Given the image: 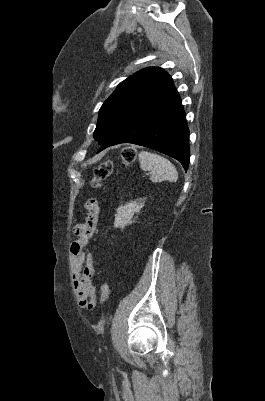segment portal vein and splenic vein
I'll return each mask as SVG.
<instances>
[{"label":"portal vein and splenic vein","instance_id":"portal-vein-and-splenic-vein-1","mask_svg":"<svg viewBox=\"0 0 265 401\" xmlns=\"http://www.w3.org/2000/svg\"><path fill=\"white\" fill-rule=\"evenodd\" d=\"M146 175H147V176H150V175H151V172H150V171H147V172H146Z\"/></svg>","mask_w":265,"mask_h":401}]
</instances>
